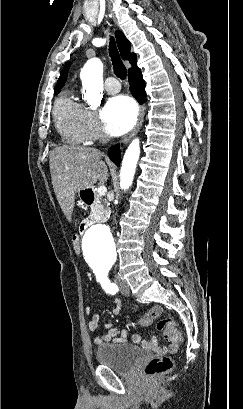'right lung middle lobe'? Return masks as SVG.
<instances>
[{
    "label": "right lung middle lobe",
    "instance_id": "right-lung-middle-lobe-1",
    "mask_svg": "<svg viewBox=\"0 0 243 409\" xmlns=\"http://www.w3.org/2000/svg\"><path fill=\"white\" fill-rule=\"evenodd\" d=\"M58 93H59V91L55 92V94H58Z\"/></svg>",
    "mask_w": 243,
    "mask_h": 409
}]
</instances>
